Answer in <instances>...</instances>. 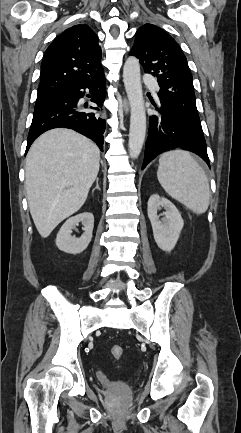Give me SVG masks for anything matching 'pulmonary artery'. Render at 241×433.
Segmentation results:
<instances>
[{"label":"pulmonary artery","mask_w":241,"mask_h":433,"mask_svg":"<svg viewBox=\"0 0 241 433\" xmlns=\"http://www.w3.org/2000/svg\"><path fill=\"white\" fill-rule=\"evenodd\" d=\"M144 83L146 84H152L155 80L152 76L150 75H145L144 79H143Z\"/></svg>","instance_id":"1"}]
</instances>
